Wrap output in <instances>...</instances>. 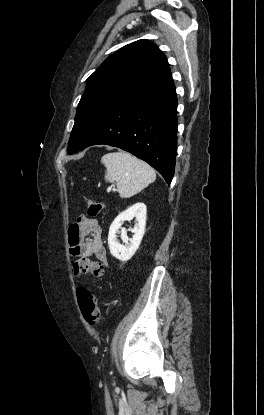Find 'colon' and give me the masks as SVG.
<instances>
[{"mask_svg": "<svg viewBox=\"0 0 264 415\" xmlns=\"http://www.w3.org/2000/svg\"><path fill=\"white\" fill-rule=\"evenodd\" d=\"M102 211L101 203L95 199H88L87 215L89 217H96ZM76 270L80 272L90 273L98 276L103 271V268L95 260L82 257L74 263ZM77 305L83 318L91 325H97L100 322V311L98 307V300L94 294L85 287H79L76 292Z\"/></svg>", "mask_w": 264, "mask_h": 415, "instance_id": "5ec220e1", "label": "colon"}]
</instances>
